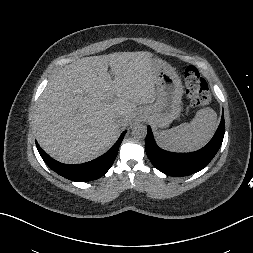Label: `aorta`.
Returning a JSON list of instances; mask_svg holds the SVG:
<instances>
[{"instance_id":"1","label":"aorta","mask_w":253,"mask_h":253,"mask_svg":"<svg viewBox=\"0 0 253 253\" xmlns=\"http://www.w3.org/2000/svg\"><path fill=\"white\" fill-rule=\"evenodd\" d=\"M131 134L136 140H143L147 135V127L144 124H135L132 127Z\"/></svg>"}]
</instances>
